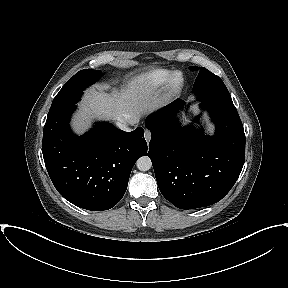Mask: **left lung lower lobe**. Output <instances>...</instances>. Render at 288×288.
Listing matches in <instances>:
<instances>
[{"label": "left lung lower lobe", "mask_w": 288, "mask_h": 288, "mask_svg": "<svg viewBox=\"0 0 288 288\" xmlns=\"http://www.w3.org/2000/svg\"><path fill=\"white\" fill-rule=\"evenodd\" d=\"M184 104L177 99L148 116L146 127L158 187L166 200L187 210L212 205L230 191L244 165L245 134L236 109L206 101L200 106L216 125L215 135L182 128L176 115Z\"/></svg>", "instance_id": "left-lung-lower-lobe-1"}]
</instances>
